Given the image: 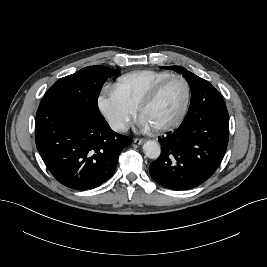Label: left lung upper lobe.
I'll list each match as a JSON object with an SVG mask.
<instances>
[{"label": "left lung upper lobe", "instance_id": "obj_1", "mask_svg": "<svg viewBox=\"0 0 267 267\" xmlns=\"http://www.w3.org/2000/svg\"><path fill=\"white\" fill-rule=\"evenodd\" d=\"M162 68L172 69L181 73L190 86V89L192 91L191 104L186 117L189 116L192 105L196 104L197 102H202L203 100H206L209 103L210 108L214 112H227V108L222 96L208 81L196 76L195 74L180 66H167Z\"/></svg>", "mask_w": 267, "mask_h": 267}]
</instances>
